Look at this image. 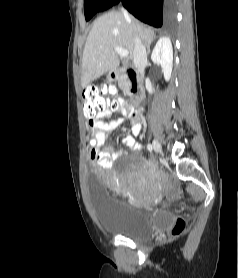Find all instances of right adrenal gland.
<instances>
[{"label": "right adrenal gland", "instance_id": "right-adrenal-gland-1", "mask_svg": "<svg viewBox=\"0 0 238 278\" xmlns=\"http://www.w3.org/2000/svg\"><path fill=\"white\" fill-rule=\"evenodd\" d=\"M152 42H153V41H150V42H148V43L146 44V47H147V55H149V53H150V46H151Z\"/></svg>", "mask_w": 238, "mask_h": 278}]
</instances>
